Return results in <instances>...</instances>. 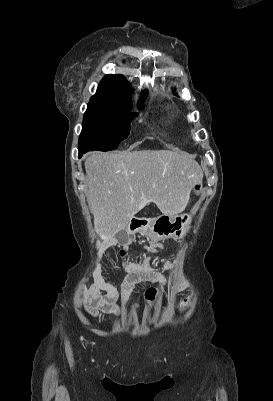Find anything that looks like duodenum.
Masks as SVG:
<instances>
[{"instance_id":"410a0bca","label":"duodenum","mask_w":273,"mask_h":401,"mask_svg":"<svg viewBox=\"0 0 273 401\" xmlns=\"http://www.w3.org/2000/svg\"><path fill=\"white\" fill-rule=\"evenodd\" d=\"M148 221L145 218L133 217L127 226V230L130 233H137L144 230L147 226Z\"/></svg>"}]
</instances>
